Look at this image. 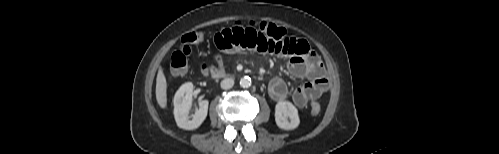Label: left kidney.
<instances>
[{"instance_id":"1","label":"left kidney","mask_w":499,"mask_h":154,"mask_svg":"<svg viewBox=\"0 0 499 154\" xmlns=\"http://www.w3.org/2000/svg\"><path fill=\"white\" fill-rule=\"evenodd\" d=\"M275 121L279 128L293 130L300 124L297 108L289 101H280L275 106Z\"/></svg>"}]
</instances>
